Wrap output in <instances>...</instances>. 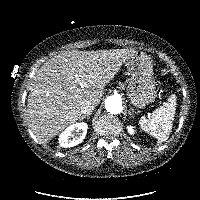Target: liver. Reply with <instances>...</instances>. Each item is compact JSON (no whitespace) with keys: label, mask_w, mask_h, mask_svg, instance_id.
<instances>
[{"label":"liver","mask_w":200,"mask_h":200,"mask_svg":"<svg viewBox=\"0 0 200 200\" xmlns=\"http://www.w3.org/2000/svg\"><path fill=\"white\" fill-rule=\"evenodd\" d=\"M136 51L109 49L62 52L37 71L27 99V116L39 142L48 143L81 118L86 100L98 105L104 87Z\"/></svg>","instance_id":"liver-1"}]
</instances>
